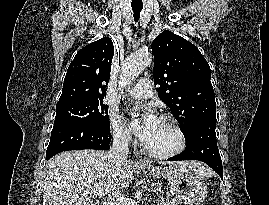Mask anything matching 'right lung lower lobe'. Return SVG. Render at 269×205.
I'll use <instances>...</instances> for the list:
<instances>
[{"instance_id": "obj_1", "label": "right lung lower lobe", "mask_w": 269, "mask_h": 205, "mask_svg": "<svg viewBox=\"0 0 269 205\" xmlns=\"http://www.w3.org/2000/svg\"><path fill=\"white\" fill-rule=\"evenodd\" d=\"M110 129L83 123H62L53 126L46 159L69 150H109Z\"/></svg>"}]
</instances>
